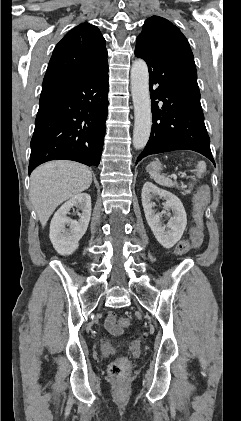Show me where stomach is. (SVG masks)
<instances>
[{
  "label": "stomach",
  "instance_id": "1",
  "mask_svg": "<svg viewBox=\"0 0 241 421\" xmlns=\"http://www.w3.org/2000/svg\"><path fill=\"white\" fill-rule=\"evenodd\" d=\"M162 170V166H161V163L160 162H158V161H156V162H152L150 165H149V171L150 172H155V173H158L159 171H161Z\"/></svg>",
  "mask_w": 241,
  "mask_h": 421
}]
</instances>
